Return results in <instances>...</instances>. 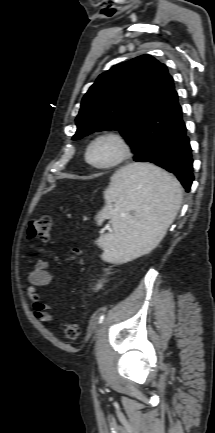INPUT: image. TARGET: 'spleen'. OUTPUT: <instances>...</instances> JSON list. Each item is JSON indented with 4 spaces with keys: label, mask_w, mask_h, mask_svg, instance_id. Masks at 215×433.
<instances>
[{
    "label": "spleen",
    "mask_w": 215,
    "mask_h": 433,
    "mask_svg": "<svg viewBox=\"0 0 215 433\" xmlns=\"http://www.w3.org/2000/svg\"><path fill=\"white\" fill-rule=\"evenodd\" d=\"M96 219L112 221V233L96 244L102 258L125 262L151 252L163 239L182 202L178 181L151 164L133 163L114 173Z\"/></svg>",
    "instance_id": "3e777b00"
}]
</instances>
